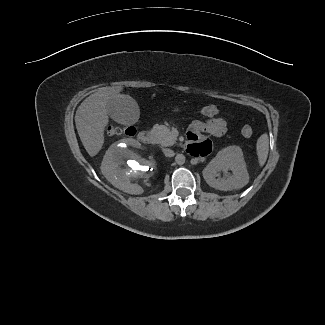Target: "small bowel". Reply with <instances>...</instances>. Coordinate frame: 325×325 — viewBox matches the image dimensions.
Masks as SVG:
<instances>
[{
    "instance_id": "obj_1",
    "label": "small bowel",
    "mask_w": 325,
    "mask_h": 325,
    "mask_svg": "<svg viewBox=\"0 0 325 325\" xmlns=\"http://www.w3.org/2000/svg\"><path fill=\"white\" fill-rule=\"evenodd\" d=\"M226 123L220 117H211L205 120L193 121L189 130V144L187 152L194 157L208 155L212 150V142L207 137L200 136L201 133H208L213 136H222L225 132Z\"/></svg>"
}]
</instances>
